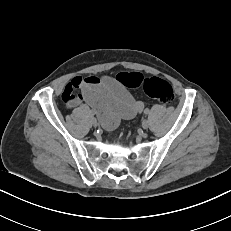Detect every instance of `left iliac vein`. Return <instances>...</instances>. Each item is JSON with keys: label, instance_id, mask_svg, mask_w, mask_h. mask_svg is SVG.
Instances as JSON below:
<instances>
[{"label": "left iliac vein", "instance_id": "left-iliac-vein-1", "mask_svg": "<svg viewBox=\"0 0 231 231\" xmlns=\"http://www.w3.org/2000/svg\"><path fill=\"white\" fill-rule=\"evenodd\" d=\"M142 127L143 129H147L149 127V121L147 119L142 121Z\"/></svg>", "mask_w": 231, "mask_h": 231}]
</instances>
